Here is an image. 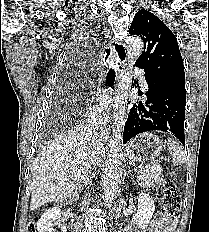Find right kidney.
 I'll return each mask as SVG.
<instances>
[{
  "label": "right kidney",
  "instance_id": "obj_1",
  "mask_svg": "<svg viewBox=\"0 0 209 232\" xmlns=\"http://www.w3.org/2000/svg\"><path fill=\"white\" fill-rule=\"evenodd\" d=\"M61 210L59 207L48 209L37 222V232H54L53 226H61V232H67L64 225H60Z\"/></svg>",
  "mask_w": 209,
  "mask_h": 232
}]
</instances>
